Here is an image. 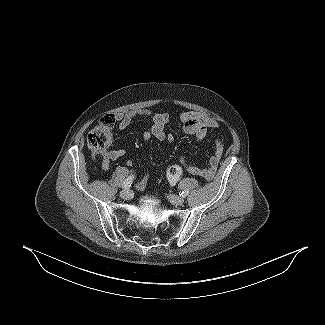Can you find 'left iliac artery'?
Segmentation results:
<instances>
[{
    "instance_id": "obj_1",
    "label": "left iliac artery",
    "mask_w": 325,
    "mask_h": 325,
    "mask_svg": "<svg viewBox=\"0 0 325 325\" xmlns=\"http://www.w3.org/2000/svg\"><path fill=\"white\" fill-rule=\"evenodd\" d=\"M188 194H189V192H188L187 190H185V191H182V192L180 193V196H182V197H186Z\"/></svg>"
}]
</instances>
